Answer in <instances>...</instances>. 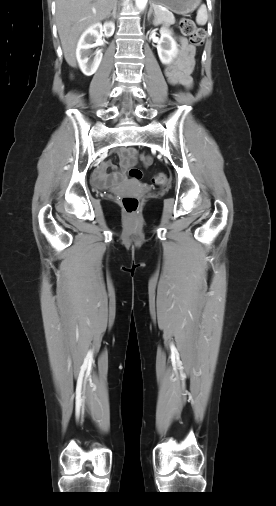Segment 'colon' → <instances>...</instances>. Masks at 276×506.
Segmentation results:
<instances>
[{
	"instance_id": "1",
	"label": "colon",
	"mask_w": 276,
	"mask_h": 506,
	"mask_svg": "<svg viewBox=\"0 0 276 506\" xmlns=\"http://www.w3.org/2000/svg\"><path fill=\"white\" fill-rule=\"evenodd\" d=\"M179 29L181 33L187 36L194 46H201L205 41V32L202 29L196 28L194 22L189 18H182L179 21ZM129 175L132 179L139 180L142 178V171L138 168L129 170ZM154 182L158 185L167 182V176L164 173H158L154 176ZM122 206L124 210L133 214L138 210L139 200L135 196H124L122 198Z\"/></svg>"
}]
</instances>
